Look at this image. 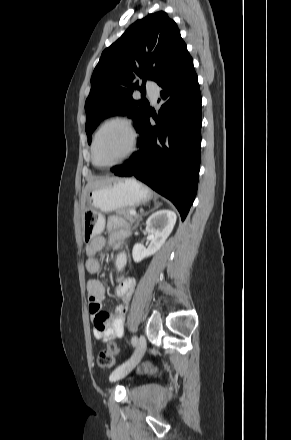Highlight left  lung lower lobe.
Masks as SVG:
<instances>
[{"instance_id":"obj_1","label":"left lung lower lobe","mask_w":291,"mask_h":440,"mask_svg":"<svg viewBox=\"0 0 291 440\" xmlns=\"http://www.w3.org/2000/svg\"><path fill=\"white\" fill-rule=\"evenodd\" d=\"M158 85L166 101L159 118L149 109L138 131L139 150L126 164L114 166L111 171L121 177L135 176L171 200L183 221L197 192L202 123L201 93L189 52ZM151 115L157 127L151 126ZM163 131L169 135V149L163 145Z\"/></svg>"}]
</instances>
